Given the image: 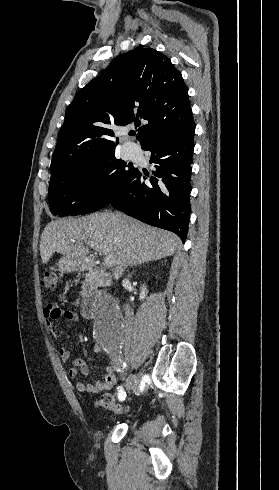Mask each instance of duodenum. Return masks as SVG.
Returning <instances> with one entry per match:
<instances>
[{
  "label": "duodenum",
  "instance_id": "410a0bca",
  "mask_svg": "<svg viewBox=\"0 0 279 490\" xmlns=\"http://www.w3.org/2000/svg\"><path fill=\"white\" fill-rule=\"evenodd\" d=\"M95 312L94 298L90 295L84 297L81 301V313L85 318L93 317Z\"/></svg>",
  "mask_w": 279,
  "mask_h": 490
}]
</instances>
